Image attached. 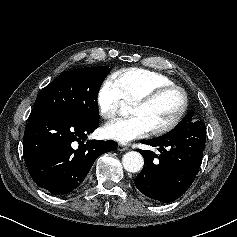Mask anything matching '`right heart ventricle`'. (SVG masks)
<instances>
[{
  "label": "right heart ventricle",
  "instance_id": "e07e8e85",
  "mask_svg": "<svg viewBox=\"0 0 237 237\" xmlns=\"http://www.w3.org/2000/svg\"><path fill=\"white\" fill-rule=\"evenodd\" d=\"M113 79L121 89L126 102H134L156 87L174 85L166 75L142 68L117 71L113 74Z\"/></svg>",
  "mask_w": 237,
  "mask_h": 237
}]
</instances>
